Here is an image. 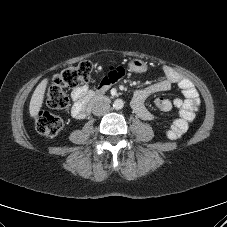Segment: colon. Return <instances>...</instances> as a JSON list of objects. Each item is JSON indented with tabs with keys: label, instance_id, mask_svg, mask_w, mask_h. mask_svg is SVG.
<instances>
[{
	"label": "colon",
	"instance_id": "colon-1",
	"mask_svg": "<svg viewBox=\"0 0 227 227\" xmlns=\"http://www.w3.org/2000/svg\"><path fill=\"white\" fill-rule=\"evenodd\" d=\"M92 70V64L89 61H83L57 74L46 93L49 107L56 110H67L69 108V98L66 90L87 83ZM62 126V119L48 111L41 110L36 115L35 127L37 132L42 135L55 136Z\"/></svg>",
	"mask_w": 227,
	"mask_h": 227
}]
</instances>
